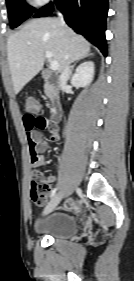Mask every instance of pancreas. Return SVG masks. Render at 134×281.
I'll return each mask as SVG.
<instances>
[{
	"label": "pancreas",
	"mask_w": 134,
	"mask_h": 281,
	"mask_svg": "<svg viewBox=\"0 0 134 281\" xmlns=\"http://www.w3.org/2000/svg\"><path fill=\"white\" fill-rule=\"evenodd\" d=\"M45 93L48 97H52V91L50 90L49 86H45Z\"/></svg>",
	"instance_id": "1"
}]
</instances>
